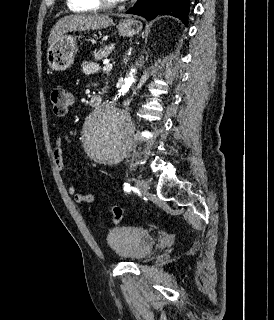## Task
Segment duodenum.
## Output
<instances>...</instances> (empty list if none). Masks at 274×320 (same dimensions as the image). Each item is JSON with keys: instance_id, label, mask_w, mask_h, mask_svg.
Returning <instances> with one entry per match:
<instances>
[{"instance_id": "obj_1", "label": "duodenum", "mask_w": 274, "mask_h": 320, "mask_svg": "<svg viewBox=\"0 0 274 320\" xmlns=\"http://www.w3.org/2000/svg\"><path fill=\"white\" fill-rule=\"evenodd\" d=\"M102 99L100 96L98 95H93L90 99H89V104L93 107H97L100 105Z\"/></svg>"}]
</instances>
